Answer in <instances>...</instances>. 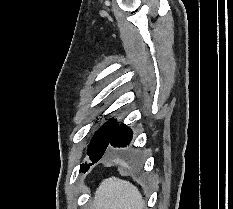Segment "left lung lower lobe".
<instances>
[{"mask_svg": "<svg viewBox=\"0 0 233 209\" xmlns=\"http://www.w3.org/2000/svg\"><path fill=\"white\" fill-rule=\"evenodd\" d=\"M132 137V131L129 127H127L124 124L119 125L116 130L114 131L109 144H108V150L111 149V147H125ZM93 163H96L100 160V158H92L89 157ZM82 164L80 171L86 173L89 169V167L93 164Z\"/></svg>", "mask_w": 233, "mask_h": 209, "instance_id": "1", "label": "left lung lower lobe"}]
</instances>
